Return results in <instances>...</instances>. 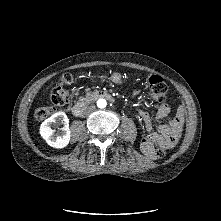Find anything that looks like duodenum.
I'll return each mask as SVG.
<instances>
[{
  "label": "duodenum",
  "instance_id": "1",
  "mask_svg": "<svg viewBox=\"0 0 221 221\" xmlns=\"http://www.w3.org/2000/svg\"><path fill=\"white\" fill-rule=\"evenodd\" d=\"M100 98H104L107 99L109 101H113L114 98L111 94H109L108 92L105 91H95L90 93L86 98H84L83 100L77 102L75 105H73L72 107V114L74 116H79L80 114H82V112L84 111V109L93 101L100 99Z\"/></svg>",
  "mask_w": 221,
  "mask_h": 221
}]
</instances>
